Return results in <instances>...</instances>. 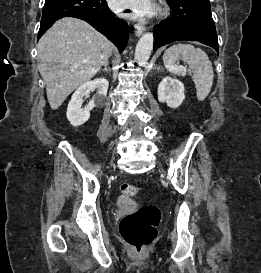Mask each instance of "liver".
Masks as SVG:
<instances>
[{"label": "liver", "mask_w": 261, "mask_h": 273, "mask_svg": "<svg viewBox=\"0 0 261 273\" xmlns=\"http://www.w3.org/2000/svg\"><path fill=\"white\" fill-rule=\"evenodd\" d=\"M37 50L48 102L56 110L96 75L112 55L113 44L85 21L66 17L41 37Z\"/></svg>", "instance_id": "1"}]
</instances>
